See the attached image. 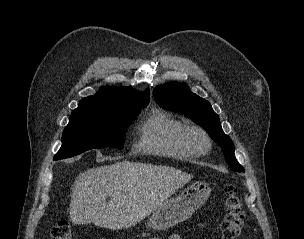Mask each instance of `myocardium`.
Returning a JSON list of instances; mask_svg holds the SVG:
<instances>
[{
  "label": "myocardium",
  "instance_id": "f54148a6",
  "mask_svg": "<svg viewBox=\"0 0 304 239\" xmlns=\"http://www.w3.org/2000/svg\"><path fill=\"white\" fill-rule=\"evenodd\" d=\"M197 133L204 139V146H195L190 139L191 134ZM180 146L192 156H202L208 153L212 147V140L208 132L196 124H184L177 133Z\"/></svg>",
  "mask_w": 304,
  "mask_h": 239
}]
</instances>
